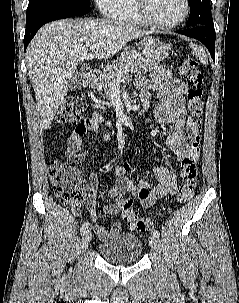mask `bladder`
<instances>
[{
    "instance_id": "obj_1",
    "label": "bladder",
    "mask_w": 239,
    "mask_h": 303,
    "mask_svg": "<svg viewBox=\"0 0 239 303\" xmlns=\"http://www.w3.org/2000/svg\"><path fill=\"white\" fill-rule=\"evenodd\" d=\"M142 249V241L129 233H119L108 242H102L98 246L100 255L116 264H131L139 261Z\"/></svg>"
}]
</instances>
